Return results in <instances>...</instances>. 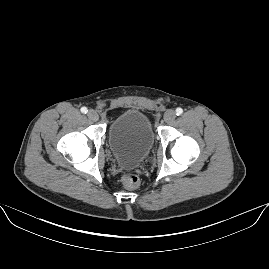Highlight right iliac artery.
<instances>
[{
    "label": "right iliac artery",
    "instance_id": "82829eb1",
    "mask_svg": "<svg viewBox=\"0 0 269 269\" xmlns=\"http://www.w3.org/2000/svg\"><path fill=\"white\" fill-rule=\"evenodd\" d=\"M81 112L86 114V113L88 112V110H87L86 107H82V108H81Z\"/></svg>",
    "mask_w": 269,
    "mask_h": 269
}]
</instances>
